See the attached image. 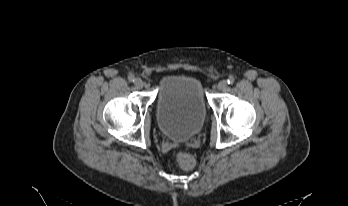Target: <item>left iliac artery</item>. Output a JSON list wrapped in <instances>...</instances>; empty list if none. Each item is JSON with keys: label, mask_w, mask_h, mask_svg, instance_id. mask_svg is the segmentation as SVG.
<instances>
[{"label": "left iliac artery", "mask_w": 348, "mask_h": 206, "mask_svg": "<svg viewBox=\"0 0 348 206\" xmlns=\"http://www.w3.org/2000/svg\"><path fill=\"white\" fill-rule=\"evenodd\" d=\"M234 81H235V79H234L233 76H229V78L227 79V83H228L229 85H232V84L234 83Z\"/></svg>", "instance_id": "1"}]
</instances>
